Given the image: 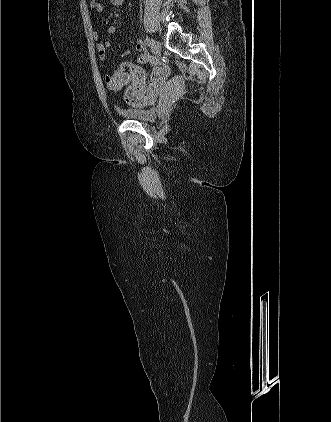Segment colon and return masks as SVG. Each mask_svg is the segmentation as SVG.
Wrapping results in <instances>:
<instances>
[{"label":"colon","instance_id":"5ec220e1","mask_svg":"<svg viewBox=\"0 0 331 422\" xmlns=\"http://www.w3.org/2000/svg\"><path fill=\"white\" fill-rule=\"evenodd\" d=\"M170 73V68L167 65H159L155 68L154 74L156 77L163 78ZM145 76L144 71L133 63L121 64L112 75L110 79L116 88L130 83V86L125 91V98L128 101L139 102L143 104L150 103L148 97L141 95L133 86V83L141 80ZM119 93L118 91H115Z\"/></svg>","mask_w":331,"mask_h":422}]
</instances>
